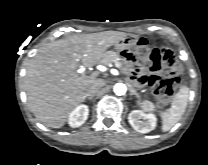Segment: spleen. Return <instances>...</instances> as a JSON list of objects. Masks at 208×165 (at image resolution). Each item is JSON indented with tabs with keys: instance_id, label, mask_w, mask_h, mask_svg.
<instances>
[{
	"instance_id": "1",
	"label": "spleen",
	"mask_w": 208,
	"mask_h": 165,
	"mask_svg": "<svg viewBox=\"0 0 208 165\" xmlns=\"http://www.w3.org/2000/svg\"><path fill=\"white\" fill-rule=\"evenodd\" d=\"M189 93L190 90L187 86L181 87L170 108L160 114L163 132L169 131L181 119L188 104ZM140 106L144 111H154V105L150 101H143Z\"/></svg>"
}]
</instances>
